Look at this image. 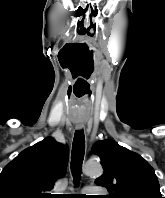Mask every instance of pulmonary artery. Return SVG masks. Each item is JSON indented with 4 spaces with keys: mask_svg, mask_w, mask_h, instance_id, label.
I'll return each instance as SVG.
<instances>
[{
    "mask_svg": "<svg viewBox=\"0 0 165 198\" xmlns=\"http://www.w3.org/2000/svg\"><path fill=\"white\" fill-rule=\"evenodd\" d=\"M100 188L96 187V186H87L83 189L84 192L89 193V192H93L96 190H99Z\"/></svg>",
    "mask_w": 165,
    "mask_h": 198,
    "instance_id": "e3ab8cb5",
    "label": "pulmonary artery"
}]
</instances>
